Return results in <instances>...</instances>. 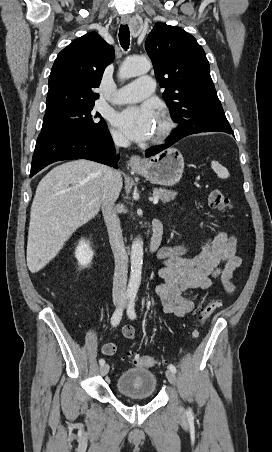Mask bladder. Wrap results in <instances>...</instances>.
I'll return each mask as SVG.
<instances>
[{
    "label": "bladder",
    "instance_id": "1",
    "mask_svg": "<svg viewBox=\"0 0 272 452\" xmlns=\"http://www.w3.org/2000/svg\"><path fill=\"white\" fill-rule=\"evenodd\" d=\"M157 377L147 368H131L122 372L115 384L117 391L128 397H153L157 392Z\"/></svg>",
    "mask_w": 272,
    "mask_h": 452
}]
</instances>
